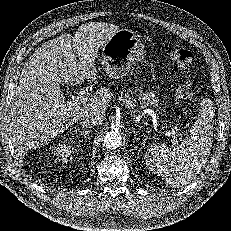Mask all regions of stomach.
<instances>
[{
	"mask_svg": "<svg viewBox=\"0 0 231 231\" xmlns=\"http://www.w3.org/2000/svg\"><path fill=\"white\" fill-rule=\"evenodd\" d=\"M102 67L112 79L125 77L134 63L144 60V46L129 29L114 33L102 46Z\"/></svg>",
	"mask_w": 231,
	"mask_h": 231,
	"instance_id": "1",
	"label": "stomach"
}]
</instances>
